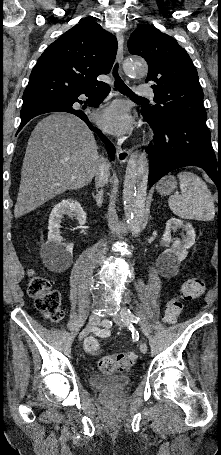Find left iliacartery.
<instances>
[{"label":"left iliac artery","mask_w":221,"mask_h":455,"mask_svg":"<svg viewBox=\"0 0 221 455\" xmlns=\"http://www.w3.org/2000/svg\"><path fill=\"white\" fill-rule=\"evenodd\" d=\"M121 316L125 323H129L130 321L138 323L140 321L139 317L134 316L126 307L121 310Z\"/></svg>","instance_id":"44dca946"}]
</instances>
